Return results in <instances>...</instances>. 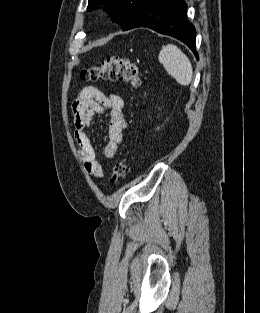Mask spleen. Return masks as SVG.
<instances>
[{
  "label": "spleen",
  "instance_id": "spleen-1",
  "mask_svg": "<svg viewBox=\"0 0 260 313\" xmlns=\"http://www.w3.org/2000/svg\"><path fill=\"white\" fill-rule=\"evenodd\" d=\"M158 60L180 85L187 86L191 83L193 77L191 62L176 45L163 46Z\"/></svg>",
  "mask_w": 260,
  "mask_h": 313
}]
</instances>
